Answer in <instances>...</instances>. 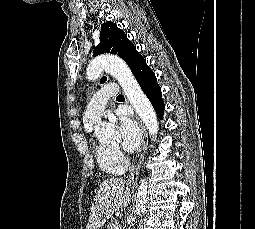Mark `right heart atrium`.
<instances>
[{
    "mask_svg": "<svg viewBox=\"0 0 255 229\" xmlns=\"http://www.w3.org/2000/svg\"><path fill=\"white\" fill-rule=\"evenodd\" d=\"M116 153H117L120 157H122V154H121L120 151L116 150Z\"/></svg>",
    "mask_w": 255,
    "mask_h": 229,
    "instance_id": "1",
    "label": "right heart atrium"
}]
</instances>
